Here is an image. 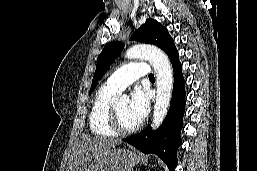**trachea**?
<instances>
[{
  "label": "trachea",
  "mask_w": 257,
  "mask_h": 171,
  "mask_svg": "<svg viewBox=\"0 0 257 171\" xmlns=\"http://www.w3.org/2000/svg\"><path fill=\"white\" fill-rule=\"evenodd\" d=\"M149 79H154V75L153 74H149Z\"/></svg>",
  "instance_id": "3493384b"
}]
</instances>
